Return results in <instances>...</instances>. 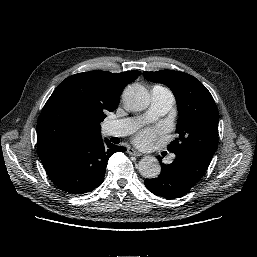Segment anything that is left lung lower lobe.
Wrapping results in <instances>:
<instances>
[{
	"mask_svg": "<svg viewBox=\"0 0 257 257\" xmlns=\"http://www.w3.org/2000/svg\"><path fill=\"white\" fill-rule=\"evenodd\" d=\"M176 155L171 164H162L157 178L146 179L147 189L157 196L175 199L188 193L203 177L212 158L193 151L173 152ZM161 161V157L157 156Z\"/></svg>",
	"mask_w": 257,
	"mask_h": 257,
	"instance_id": "obj_1",
	"label": "left lung lower lobe"
}]
</instances>
